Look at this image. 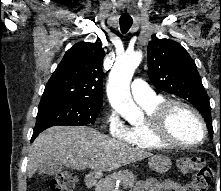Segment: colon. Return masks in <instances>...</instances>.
<instances>
[{"label": "colon", "instance_id": "obj_1", "mask_svg": "<svg viewBox=\"0 0 221 191\" xmlns=\"http://www.w3.org/2000/svg\"><path fill=\"white\" fill-rule=\"evenodd\" d=\"M182 174L191 175L192 180L184 185V191H207L212 179V170L203 159L196 156L182 157L178 161ZM76 176L69 171H62L50 180L51 191H73Z\"/></svg>", "mask_w": 221, "mask_h": 191}]
</instances>
